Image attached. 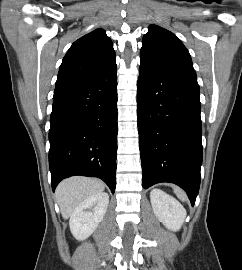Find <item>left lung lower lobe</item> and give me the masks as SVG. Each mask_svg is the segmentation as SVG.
<instances>
[{
    "instance_id": "left-lung-lower-lobe-1",
    "label": "left lung lower lobe",
    "mask_w": 242,
    "mask_h": 270,
    "mask_svg": "<svg viewBox=\"0 0 242 270\" xmlns=\"http://www.w3.org/2000/svg\"><path fill=\"white\" fill-rule=\"evenodd\" d=\"M137 118L143 188H183L192 206L200 186L202 125L197 80L140 63Z\"/></svg>"
}]
</instances>
